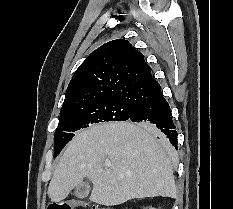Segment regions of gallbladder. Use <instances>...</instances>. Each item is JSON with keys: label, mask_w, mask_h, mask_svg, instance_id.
<instances>
[{"label": "gallbladder", "mask_w": 233, "mask_h": 209, "mask_svg": "<svg viewBox=\"0 0 233 209\" xmlns=\"http://www.w3.org/2000/svg\"><path fill=\"white\" fill-rule=\"evenodd\" d=\"M89 194V185L88 183H82L76 187L74 195L80 199L87 197Z\"/></svg>", "instance_id": "bac80fb5"}]
</instances>
